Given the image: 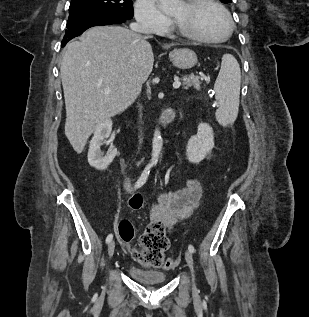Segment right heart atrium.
I'll use <instances>...</instances> for the list:
<instances>
[{
    "label": "right heart atrium",
    "mask_w": 309,
    "mask_h": 317,
    "mask_svg": "<svg viewBox=\"0 0 309 317\" xmlns=\"http://www.w3.org/2000/svg\"><path fill=\"white\" fill-rule=\"evenodd\" d=\"M134 16L139 27L148 33H159L168 29L171 24L155 0H135Z\"/></svg>",
    "instance_id": "obj_1"
}]
</instances>
